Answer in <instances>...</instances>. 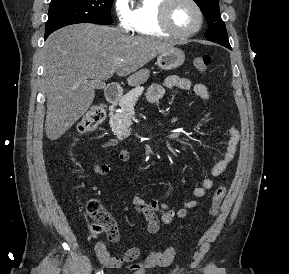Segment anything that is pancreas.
<instances>
[{
	"label": "pancreas",
	"instance_id": "pancreas-1",
	"mask_svg": "<svg viewBox=\"0 0 289 274\" xmlns=\"http://www.w3.org/2000/svg\"><path fill=\"white\" fill-rule=\"evenodd\" d=\"M143 93V88H136L124 95L119 106L121 111L111 115L110 127L112 132L118 139L126 138L130 134V126L135 115L134 107L138 101V97Z\"/></svg>",
	"mask_w": 289,
	"mask_h": 274
}]
</instances>
